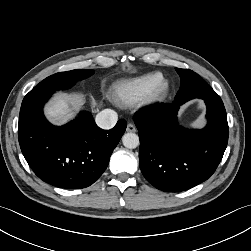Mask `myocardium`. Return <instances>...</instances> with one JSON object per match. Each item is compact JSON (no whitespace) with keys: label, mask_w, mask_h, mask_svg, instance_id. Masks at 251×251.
Here are the masks:
<instances>
[{"label":"myocardium","mask_w":251,"mask_h":251,"mask_svg":"<svg viewBox=\"0 0 251 251\" xmlns=\"http://www.w3.org/2000/svg\"><path fill=\"white\" fill-rule=\"evenodd\" d=\"M169 83L163 80L147 97L148 102H161L165 99L169 92Z\"/></svg>","instance_id":"myocardium-1"}]
</instances>
